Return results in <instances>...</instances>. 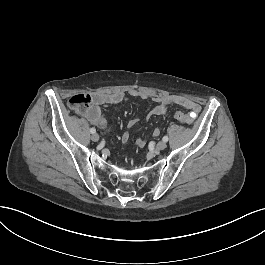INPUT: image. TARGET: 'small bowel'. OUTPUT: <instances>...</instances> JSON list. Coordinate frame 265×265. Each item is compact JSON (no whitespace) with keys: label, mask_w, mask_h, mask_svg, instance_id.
<instances>
[{"label":"small bowel","mask_w":265,"mask_h":265,"mask_svg":"<svg viewBox=\"0 0 265 265\" xmlns=\"http://www.w3.org/2000/svg\"><path fill=\"white\" fill-rule=\"evenodd\" d=\"M132 95L144 100L151 99L154 103H156V106L150 113L152 116L165 114L170 106H180L187 110V112H185L189 117V122L187 124H192L201 111V106L199 103L180 95L171 94L150 96L145 92H134ZM127 100V95L122 91L98 92L94 94L92 103L84 108L79 109L78 114L95 126H103L106 120L102 108L110 105L120 104ZM135 123V120H130L127 124L128 128L133 127ZM159 134L160 129L155 128L153 130V136L157 137ZM121 140L124 144L129 143L130 132L128 130L122 133ZM145 142L146 140L144 138H140L133 144V146L137 149H141L144 147Z\"/></svg>","instance_id":"c3829d8e"}]
</instances>
